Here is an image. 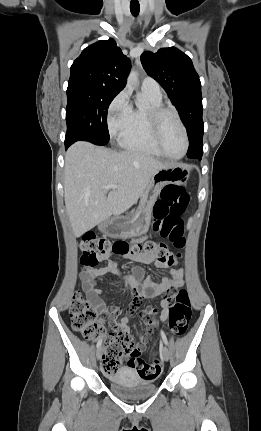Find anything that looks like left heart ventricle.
I'll return each mask as SVG.
<instances>
[{
    "mask_svg": "<svg viewBox=\"0 0 261 431\" xmlns=\"http://www.w3.org/2000/svg\"><path fill=\"white\" fill-rule=\"evenodd\" d=\"M161 142L165 151L173 157L183 153L185 142L182 131L174 116L166 115L161 126Z\"/></svg>",
    "mask_w": 261,
    "mask_h": 431,
    "instance_id": "b2bd125f",
    "label": "left heart ventricle"
}]
</instances>
